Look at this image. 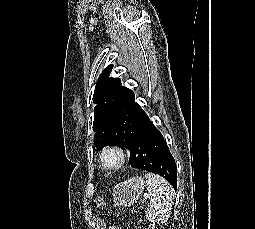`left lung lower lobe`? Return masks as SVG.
<instances>
[{"label":"left lung lower lobe","instance_id":"left-lung-lower-lobe-1","mask_svg":"<svg viewBox=\"0 0 255 229\" xmlns=\"http://www.w3.org/2000/svg\"><path fill=\"white\" fill-rule=\"evenodd\" d=\"M112 121L129 138L131 167L157 173L177 190L175 160L162 134L149 120L130 90L112 115Z\"/></svg>","mask_w":255,"mask_h":229}]
</instances>
